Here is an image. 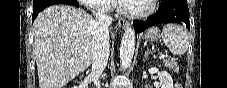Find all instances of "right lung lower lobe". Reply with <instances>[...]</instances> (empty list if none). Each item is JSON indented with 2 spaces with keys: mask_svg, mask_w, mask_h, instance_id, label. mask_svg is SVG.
Wrapping results in <instances>:
<instances>
[{
  "mask_svg": "<svg viewBox=\"0 0 227 88\" xmlns=\"http://www.w3.org/2000/svg\"><path fill=\"white\" fill-rule=\"evenodd\" d=\"M65 0H34L33 3V14H32V23L34 22L35 18L46 7L58 4V3H64Z\"/></svg>",
  "mask_w": 227,
  "mask_h": 88,
  "instance_id": "right-lung-lower-lobe-1",
  "label": "right lung lower lobe"
}]
</instances>
